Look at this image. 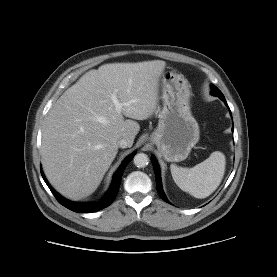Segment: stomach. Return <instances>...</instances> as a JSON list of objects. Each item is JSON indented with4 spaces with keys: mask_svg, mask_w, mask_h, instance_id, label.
Masks as SVG:
<instances>
[{
    "mask_svg": "<svg viewBox=\"0 0 277 277\" xmlns=\"http://www.w3.org/2000/svg\"><path fill=\"white\" fill-rule=\"evenodd\" d=\"M161 81L163 107L150 141L165 160L179 162L199 141V126L190 110V85L173 71L164 72Z\"/></svg>",
    "mask_w": 277,
    "mask_h": 277,
    "instance_id": "stomach-1",
    "label": "stomach"
}]
</instances>
